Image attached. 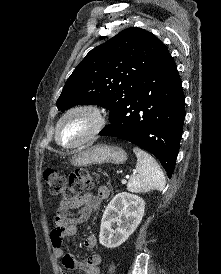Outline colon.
<instances>
[{
    "mask_svg": "<svg viewBox=\"0 0 221 274\" xmlns=\"http://www.w3.org/2000/svg\"><path fill=\"white\" fill-rule=\"evenodd\" d=\"M44 180L49 192L53 195H60L66 202L77 199L84 190L93 186L89 175L82 171L65 176L54 169H46ZM110 272H112V269Z\"/></svg>",
    "mask_w": 221,
    "mask_h": 274,
    "instance_id": "5ec220e1",
    "label": "colon"
}]
</instances>
